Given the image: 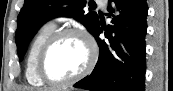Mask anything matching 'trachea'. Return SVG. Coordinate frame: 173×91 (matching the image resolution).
<instances>
[{"mask_svg":"<svg viewBox=\"0 0 173 91\" xmlns=\"http://www.w3.org/2000/svg\"><path fill=\"white\" fill-rule=\"evenodd\" d=\"M92 7H96V4H93Z\"/></svg>","mask_w":173,"mask_h":91,"instance_id":"3493384b","label":"trachea"}]
</instances>
